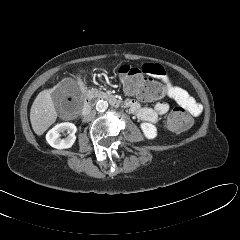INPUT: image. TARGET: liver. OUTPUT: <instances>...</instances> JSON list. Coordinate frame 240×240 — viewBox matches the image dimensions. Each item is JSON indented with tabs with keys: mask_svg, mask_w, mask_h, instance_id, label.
<instances>
[{
	"mask_svg": "<svg viewBox=\"0 0 240 240\" xmlns=\"http://www.w3.org/2000/svg\"><path fill=\"white\" fill-rule=\"evenodd\" d=\"M60 84L52 89L41 91L34 100L30 110V121L34 132L42 135L57 119V112L51 93Z\"/></svg>",
	"mask_w": 240,
	"mask_h": 240,
	"instance_id": "6515ba94",
	"label": "liver"
}]
</instances>
